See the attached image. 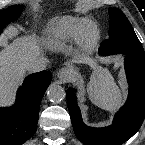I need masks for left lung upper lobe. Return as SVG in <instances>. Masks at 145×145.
Instances as JSON below:
<instances>
[{
	"instance_id": "obj_1",
	"label": "left lung upper lobe",
	"mask_w": 145,
	"mask_h": 145,
	"mask_svg": "<svg viewBox=\"0 0 145 145\" xmlns=\"http://www.w3.org/2000/svg\"><path fill=\"white\" fill-rule=\"evenodd\" d=\"M109 14V39L105 40L104 44L106 49L145 59L142 44L124 13L118 8H110Z\"/></svg>"
}]
</instances>
